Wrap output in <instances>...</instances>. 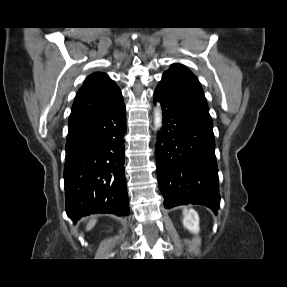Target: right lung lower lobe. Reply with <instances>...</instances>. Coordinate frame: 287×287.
Masks as SVG:
<instances>
[{
    "label": "right lung lower lobe",
    "mask_w": 287,
    "mask_h": 287,
    "mask_svg": "<svg viewBox=\"0 0 287 287\" xmlns=\"http://www.w3.org/2000/svg\"><path fill=\"white\" fill-rule=\"evenodd\" d=\"M125 132L123 99L107 111L69 120L64 183L66 213L75 222L94 213L129 214Z\"/></svg>",
    "instance_id": "1"
}]
</instances>
